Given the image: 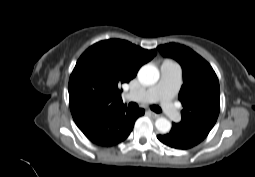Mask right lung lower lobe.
Listing matches in <instances>:
<instances>
[{"mask_svg":"<svg viewBox=\"0 0 255 177\" xmlns=\"http://www.w3.org/2000/svg\"><path fill=\"white\" fill-rule=\"evenodd\" d=\"M144 112V109L129 110L124 105L77 126L91 142L100 146H114L129 136L136 119Z\"/></svg>","mask_w":255,"mask_h":177,"instance_id":"98d812e1","label":"right lung lower lobe"}]
</instances>
